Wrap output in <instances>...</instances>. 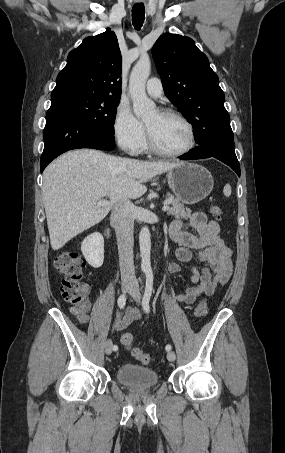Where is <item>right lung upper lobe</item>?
Wrapping results in <instances>:
<instances>
[{
	"instance_id": "cb5924a9",
	"label": "right lung upper lobe",
	"mask_w": 285,
	"mask_h": 453,
	"mask_svg": "<svg viewBox=\"0 0 285 453\" xmlns=\"http://www.w3.org/2000/svg\"><path fill=\"white\" fill-rule=\"evenodd\" d=\"M73 94L121 97V52L110 29L85 38L69 53L51 100Z\"/></svg>"
}]
</instances>
